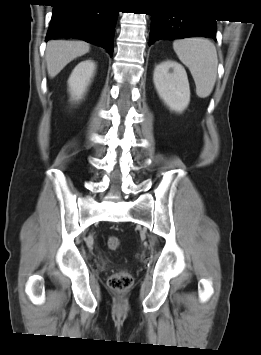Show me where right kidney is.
Segmentation results:
<instances>
[{
  "label": "right kidney",
  "instance_id": "ca27d5eb",
  "mask_svg": "<svg viewBox=\"0 0 261 355\" xmlns=\"http://www.w3.org/2000/svg\"><path fill=\"white\" fill-rule=\"evenodd\" d=\"M95 70L96 64L92 60L82 61L74 68L68 79L72 101H79L83 98Z\"/></svg>",
  "mask_w": 261,
  "mask_h": 355
}]
</instances>
